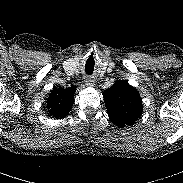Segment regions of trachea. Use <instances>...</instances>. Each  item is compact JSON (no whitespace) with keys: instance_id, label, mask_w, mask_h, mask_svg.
Listing matches in <instances>:
<instances>
[{"instance_id":"obj_1","label":"trachea","mask_w":183,"mask_h":183,"mask_svg":"<svg viewBox=\"0 0 183 183\" xmlns=\"http://www.w3.org/2000/svg\"><path fill=\"white\" fill-rule=\"evenodd\" d=\"M94 65H95V60L93 56H90L86 61L85 72L91 75L94 70Z\"/></svg>"}]
</instances>
